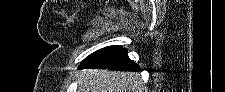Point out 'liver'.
<instances>
[{
    "label": "liver",
    "instance_id": "6515ba94",
    "mask_svg": "<svg viewBox=\"0 0 225 92\" xmlns=\"http://www.w3.org/2000/svg\"><path fill=\"white\" fill-rule=\"evenodd\" d=\"M78 92H145L138 73L85 70L78 79Z\"/></svg>",
    "mask_w": 225,
    "mask_h": 92
}]
</instances>
